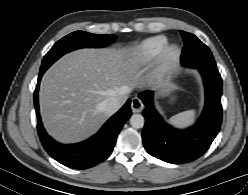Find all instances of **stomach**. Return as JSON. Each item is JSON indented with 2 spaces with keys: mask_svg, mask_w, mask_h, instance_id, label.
I'll return each mask as SVG.
<instances>
[{
  "mask_svg": "<svg viewBox=\"0 0 248 195\" xmlns=\"http://www.w3.org/2000/svg\"><path fill=\"white\" fill-rule=\"evenodd\" d=\"M171 91H172V87H170L169 89H167L166 94L169 95Z\"/></svg>",
  "mask_w": 248,
  "mask_h": 195,
  "instance_id": "obj_1",
  "label": "stomach"
}]
</instances>
